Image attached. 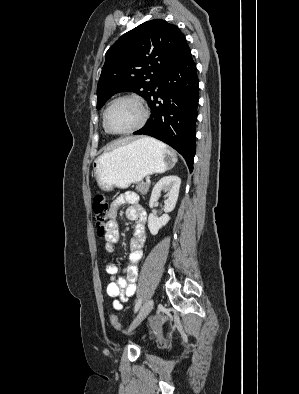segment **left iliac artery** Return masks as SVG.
Segmentation results:
<instances>
[{"instance_id":"44dca946","label":"left iliac artery","mask_w":299,"mask_h":394,"mask_svg":"<svg viewBox=\"0 0 299 394\" xmlns=\"http://www.w3.org/2000/svg\"><path fill=\"white\" fill-rule=\"evenodd\" d=\"M141 302H142V299H141V298L138 299V301H137V303H136V305H135V308H134V312H137V311H138V309H139L140 306H141Z\"/></svg>"}]
</instances>
